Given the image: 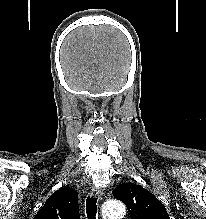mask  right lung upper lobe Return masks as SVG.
I'll return each mask as SVG.
<instances>
[{
	"instance_id": "right-lung-upper-lobe-1",
	"label": "right lung upper lobe",
	"mask_w": 206,
	"mask_h": 219,
	"mask_svg": "<svg viewBox=\"0 0 206 219\" xmlns=\"http://www.w3.org/2000/svg\"><path fill=\"white\" fill-rule=\"evenodd\" d=\"M34 219H80L78 193L72 188L54 192Z\"/></svg>"
}]
</instances>
